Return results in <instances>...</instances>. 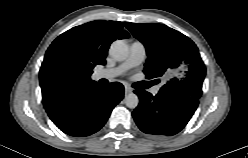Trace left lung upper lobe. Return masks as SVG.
<instances>
[{
	"label": "left lung upper lobe",
	"mask_w": 248,
	"mask_h": 158,
	"mask_svg": "<svg viewBox=\"0 0 248 158\" xmlns=\"http://www.w3.org/2000/svg\"><path fill=\"white\" fill-rule=\"evenodd\" d=\"M124 24L146 47V77L152 79L165 76L168 79L159 94L200 98L206 68L192 40L162 24Z\"/></svg>",
	"instance_id": "5c2ea615"
}]
</instances>
